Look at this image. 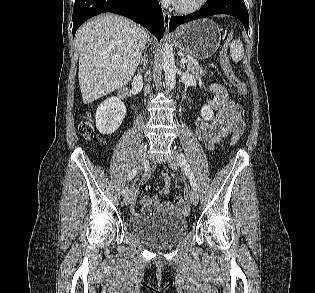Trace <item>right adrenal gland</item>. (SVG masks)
Instances as JSON below:
<instances>
[{
    "label": "right adrenal gland",
    "mask_w": 315,
    "mask_h": 293,
    "mask_svg": "<svg viewBox=\"0 0 315 293\" xmlns=\"http://www.w3.org/2000/svg\"><path fill=\"white\" fill-rule=\"evenodd\" d=\"M146 64H147V55H146V53L144 54V57L142 58V68H140V70L139 71H141V70H143L144 68H145V66H146Z\"/></svg>",
    "instance_id": "1"
}]
</instances>
